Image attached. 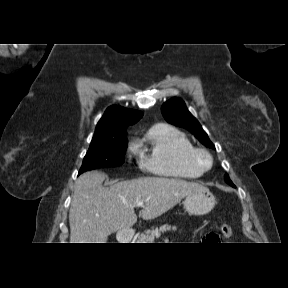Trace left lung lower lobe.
Wrapping results in <instances>:
<instances>
[{"label":"left lung lower lobe","mask_w":288,"mask_h":288,"mask_svg":"<svg viewBox=\"0 0 288 288\" xmlns=\"http://www.w3.org/2000/svg\"><path fill=\"white\" fill-rule=\"evenodd\" d=\"M232 187H235V185L234 184H230Z\"/></svg>","instance_id":"1"}]
</instances>
